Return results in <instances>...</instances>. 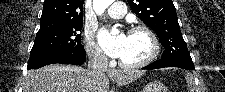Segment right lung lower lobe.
Here are the masks:
<instances>
[{"label": "right lung lower lobe", "instance_id": "right-lung-lower-lobe-1", "mask_svg": "<svg viewBox=\"0 0 225 92\" xmlns=\"http://www.w3.org/2000/svg\"><path fill=\"white\" fill-rule=\"evenodd\" d=\"M86 59L84 47L80 49H61L30 56L27 69H38L53 63L81 65Z\"/></svg>", "mask_w": 225, "mask_h": 92}]
</instances>
